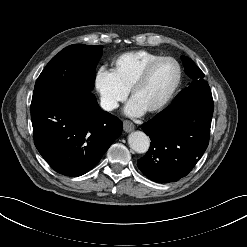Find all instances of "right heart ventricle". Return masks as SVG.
<instances>
[{"label": "right heart ventricle", "instance_id": "1", "mask_svg": "<svg viewBox=\"0 0 247 247\" xmlns=\"http://www.w3.org/2000/svg\"><path fill=\"white\" fill-rule=\"evenodd\" d=\"M158 57L146 50L126 52L113 60L111 73L118 84L129 91L143 68Z\"/></svg>", "mask_w": 247, "mask_h": 247}]
</instances>
